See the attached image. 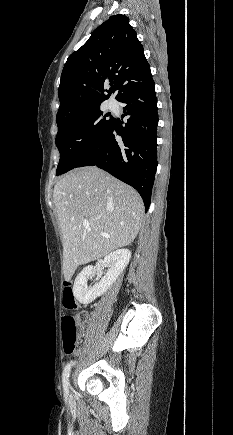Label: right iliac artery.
<instances>
[{
	"label": "right iliac artery",
	"mask_w": 233,
	"mask_h": 435,
	"mask_svg": "<svg viewBox=\"0 0 233 435\" xmlns=\"http://www.w3.org/2000/svg\"><path fill=\"white\" fill-rule=\"evenodd\" d=\"M72 365H73V362L68 363L63 370L62 381H63L65 396H67L68 392H69V388H68L69 380H68V378H69V373H70V369H71Z\"/></svg>",
	"instance_id": "82829eb1"
}]
</instances>
